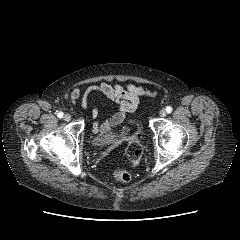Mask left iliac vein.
I'll return each mask as SVG.
<instances>
[{
    "instance_id": "1",
    "label": "left iliac vein",
    "mask_w": 240,
    "mask_h": 240,
    "mask_svg": "<svg viewBox=\"0 0 240 240\" xmlns=\"http://www.w3.org/2000/svg\"><path fill=\"white\" fill-rule=\"evenodd\" d=\"M159 115H160V117H165L166 116V111L164 109H161L159 111Z\"/></svg>"
}]
</instances>
